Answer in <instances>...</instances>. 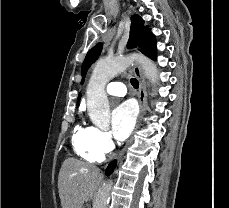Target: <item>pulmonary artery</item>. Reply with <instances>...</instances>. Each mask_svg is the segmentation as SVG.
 Returning <instances> with one entry per match:
<instances>
[{
    "instance_id": "pulmonary-artery-1",
    "label": "pulmonary artery",
    "mask_w": 229,
    "mask_h": 208,
    "mask_svg": "<svg viewBox=\"0 0 229 208\" xmlns=\"http://www.w3.org/2000/svg\"><path fill=\"white\" fill-rule=\"evenodd\" d=\"M111 77L110 79H113ZM106 92L113 96H124L126 94V86L122 81H111L106 86Z\"/></svg>"
}]
</instances>
